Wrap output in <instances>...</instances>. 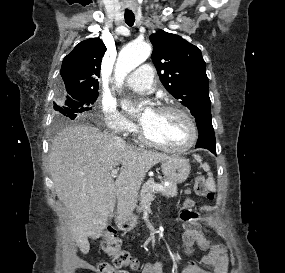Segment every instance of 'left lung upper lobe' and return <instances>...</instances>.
Listing matches in <instances>:
<instances>
[{
    "instance_id": "1",
    "label": "left lung upper lobe",
    "mask_w": 285,
    "mask_h": 273,
    "mask_svg": "<svg viewBox=\"0 0 285 273\" xmlns=\"http://www.w3.org/2000/svg\"><path fill=\"white\" fill-rule=\"evenodd\" d=\"M150 40L152 61L166 90L190 109L196 121L211 117L206 64L199 48L163 30Z\"/></svg>"
}]
</instances>
